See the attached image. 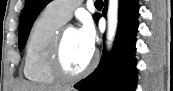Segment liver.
<instances>
[{
  "instance_id": "6515ba94",
  "label": "liver",
  "mask_w": 173,
  "mask_h": 91,
  "mask_svg": "<svg viewBox=\"0 0 173 91\" xmlns=\"http://www.w3.org/2000/svg\"><path fill=\"white\" fill-rule=\"evenodd\" d=\"M13 91H63L61 88L57 87H45V86H38L35 84H31L29 82H21L18 83ZM71 91V90H65Z\"/></svg>"
}]
</instances>
